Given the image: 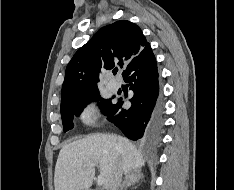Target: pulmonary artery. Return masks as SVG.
Wrapping results in <instances>:
<instances>
[{
    "label": "pulmonary artery",
    "instance_id": "e3ab8cb5",
    "mask_svg": "<svg viewBox=\"0 0 234 190\" xmlns=\"http://www.w3.org/2000/svg\"><path fill=\"white\" fill-rule=\"evenodd\" d=\"M108 87L112 91H117L119 89L120 85L117 82H109Z\"/></svg>",
    "mask_w": 234,
    "mask_h": 190
}]
</instances>
